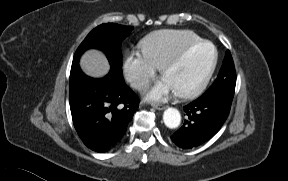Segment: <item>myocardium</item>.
Here are the masks:
<instances>
[{"mask_svg":"<svg viewBox=\"0 0 288 181\" xmlns=\"http://www.w3.org/2000/svg\"><path fill=\"white\" fill-rule=\"evenodd\" d=\"M211 45L214 49V60L213 63L208 71V73L206 74V76L195 86L188 88V89H184V90H179V91H174L175 94L181 98H191L194 96H197L198 94H200L208 85V83L210 82L216 68L218 65V60H219V51L217 46L209 41V40H205L202 39L200 41L194 42L190 45H187L186 47H184L183 49H181L174 57H172L170 60H168L160 69H161V76L164 77L166 73H168L170 70L174 69L175 67H177L178 65H180L184 59L196 48L202 46V45Z\"/></svg>","mask_w":288,"mask_h":181,"instance_id":"obj_1","label":"myocardium"}]
</instances>
